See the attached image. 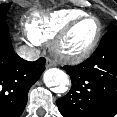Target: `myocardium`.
Segmentation results:
<instances>
[{"label": "myocardium", "instance_id": "myocardium-1", "mask_svg": "<svg viewBox=\"0 0 117 117\" xmlns=\"http://www.w3.org/2000/svg\"><path fill=\"white\" fill-rule=\"evenodd\" d=\"M94 20L97 24L96 34L91 41V43L80 52H70L66 49L65 43L72 34V32L79 26L82 22L86 20ZM102 36V24L100 20L93 15H83L75 18L71 21L54 39L52 43L53 53L62 61L70 63H79L88 59L97 49Z\"/></svg>", "mask_w": 117, "mask_h": 117}]
</instances>
